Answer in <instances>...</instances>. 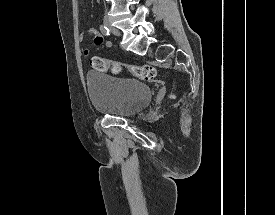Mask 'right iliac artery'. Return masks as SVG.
Instances as JSON below:
<instances>
[{"mask_svg":"<svg viewBox=\"0 0 275 215\" xmlns=\"http://www.w3.org/2000/svg\"><path fill=\"white\" fill-rule=\"evenodd\" d=\"M100 31L102 32L103 35L108 36L110 35L109 29L105 25L100 26Z\"/></svg>","mask_w":275,"mask_h":215,"instance_id":"1","label":"right iliac artery"}]
</instances>
